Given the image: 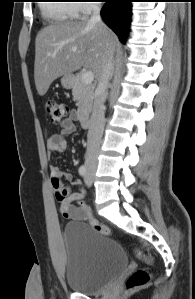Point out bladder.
I'll use <instances>...</instances> for the list:
<instances>
[{
  "label": "bladder",
  "instance_id": "bladder-1",
  "mask_svg": "<svg viewBox=\"0 0 195 299\" xmlns=\"http://www.w3.org/2000/svg\"><path fill=\"white\" fill-rule=\"evenodd\" d=\"M63 244L65 282L71 290L94 293L127 267L128 258L120 245L84 221L65 225Z\"/></svg>",
  "mask_w": 195,
  "mask_h": 299
}]
</instances>
